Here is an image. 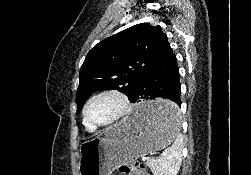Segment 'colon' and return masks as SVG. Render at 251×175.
Masks as SVG:
<instances>
[{"label":"colon","mask_w":251,"mask_h":175,"mask_svg":"<svg viewBox=\"0 0 251 175\" xmlns=\"http://www.w3.org/2000/svg\"><path fill=\"white\" fill-rule=\"evenodd\" d=\"M119 171L122 175H149L144 164L137 160L122 164Z\"/></svg>","instance_id":"obj_1"}]
</instances>
